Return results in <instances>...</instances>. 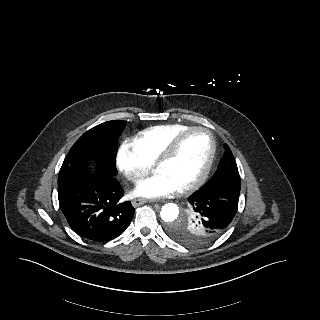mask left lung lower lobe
Returning <instances> with one entry per match:
<instances>
[{"instance_id":"1","label":"left lung lower lobe","mask_w":320,"mask_h":320,"mask_svg":"<svg viewBox=\"0 0 320 320\" xmlns=\"http://www.w3.org/2000/svg\"><path fill=\"white\" fill-rule=\"evenodd\" d=\"M238 200L239 195L205 187L188 199L192 208L201 216L207 237L211 240L226 232L237 212Z\"/></svg>"}]
</instances>
